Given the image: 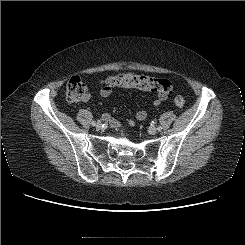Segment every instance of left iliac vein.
<instances>
[{
    "instance_id": "left-iliac-vein-1",
    "label": "left iliac vein",
    "mask_w": 245,
    "mask_h": 245,
    "mask_svg": "<svg viewBox=\"0 0 245 245\" xmlns=\"http://www.w3.org/2000/svg\"><path fill=\"white\" fill-rule=\"evenodd\" d=\"M148 132L152 135L156 134L157 133V129L155 127H149L148 128Z\"/></svg>"
}]
</instances>
